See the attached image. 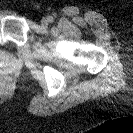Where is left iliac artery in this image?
<instances>
[{
    "mask_svg": "<svg viewBox=\"0 0 133 133\" xmlns=\"http://www.w3.org/2000/svg\"><path fill=\"white\" fill-rule=\"evenodd\" d=\"M48 18L50 22H53V17L49 16Z\"/></svg>",
    "mask_w": 133,
    "mask_h": 133,
    "instance_id": "left-iliac-artery-1",
    "label": "left iliac artery"
}]
</instances>
